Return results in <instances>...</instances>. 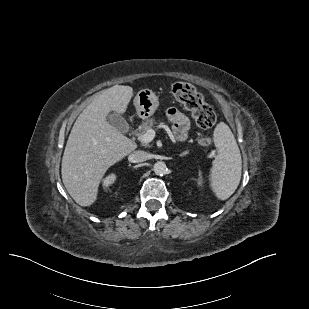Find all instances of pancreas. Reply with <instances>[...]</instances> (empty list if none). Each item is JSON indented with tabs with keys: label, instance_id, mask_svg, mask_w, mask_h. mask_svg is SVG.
<instances>
[{
	"label": "pancreas",
	"instance_id": "1",
	"mask_svg": "<svg viewBox=\"0 0 309 309\" xmlns=\"http://www.w3.org/2000/svg\"><path fill=\"white\" fill-rule=\"evenodd\" d=\"M156 124L153 118L146 119L142 124L135 130L137 136L143 135L148 129H151Z\"/></svg>",
	"mask_w": 309,
	"mask_h": 309
}]
</instances>
